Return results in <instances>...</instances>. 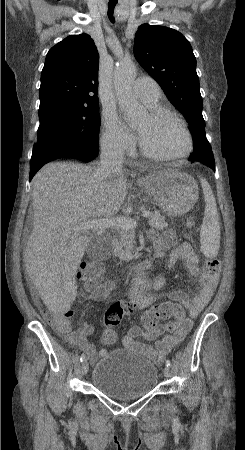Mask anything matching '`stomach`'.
I'll return each mask as SVG.
<instances>
[{"mask_svg": "<svg viewBox=\"0 0 245 450\" xmlns=\"http://www.w3.org/2000/svg\"><path fill=\"white\" fill-rule=\"evenodd\" d=\"M139 184L169 217L186 214L193 208L199 197L195 179L187 173L170 168L153 171Z\"/></svg>", "mask_w": 245, "mask_h": 450, "instance_id": "1", "label": "stomach"}]
</instances>
